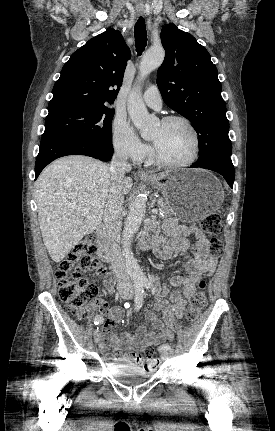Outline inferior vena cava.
Returning a JSON list of instances; mask_svg holds the SVG:
<instances>
[{"label": "inferior vena cava", "instance_id": "inferior-vena-cava-1", "mask_svg": "<svg viewBox=\"0 0 275 431\" xmlns=\"http://www.w3.org/2000/svg\"><path fill=\"white\" fill-rule=\"evenodd\" d=\"M127 159V154L122 151L118 150L114 153L109 168L114 182L120 181L124 178L125 173L131 170V165L127 162ZM123 202V194L114 188L105 205L103 221L110 244V262L117 277L118 290H128L132 292V282L123 262L120 249Z\"/></svg>", "mask_w": 275, "mask_h": 431}]
</instances>
